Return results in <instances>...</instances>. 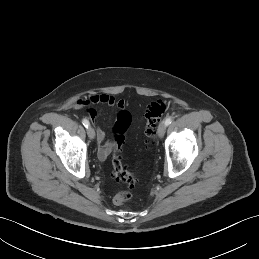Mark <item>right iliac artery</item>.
I'll return each instance as SVG.
<instances>
[{"mask_svg":"<svg viewBox=\"0 0 259 259\" xmlns=\"http://www.w3.org/2000/svg\"><path fill=\"white\" fill-rule=\"evenodd\" d=\"M82 123H83V125H84L86 128H88L89 125H90V123H89V121H88L87 119H82Z\"/></svg>","mask_w":259,"mask_h":259,"instance_id":"82829eb1","label":"right iliac artery"}]
</instances>
